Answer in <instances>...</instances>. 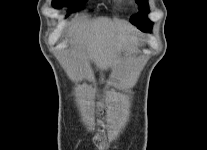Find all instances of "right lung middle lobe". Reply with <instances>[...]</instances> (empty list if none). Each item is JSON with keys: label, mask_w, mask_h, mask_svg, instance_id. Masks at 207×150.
Segmentation results:
<instances>
[{"label": "right lung middle lobe", "mask_w": 207, "mask_h": 150, "mask_svg": "<svg viewBox=\"0 0 207 150\" xmlns=\"http://www.w3.org/2000/svg\"><path fill=\"white\" fill-rule=\"evenodd\" d=\"M52 5L55 8H61L67 5L69 7L68 13H71L80 8L83 3L82 0H53Z\"/></svg>", "instance_id": "dd1d6c3e"}]
</instances>
